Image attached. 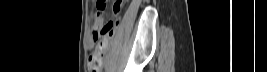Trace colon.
<instances>
[{
    "instance_id": "obj_1",
    "label": "colon",
    "mask_w": 267,
    "mask_h": 72,
    "mask_svg": "<svg viewBox=\"0 0 267 72\" xmlns=\"http://www.w3.org/2000/svg\"><path fill=\"white\" fill-rule=\"evenodd\" d=\"M104 4L105 3L103 0H98L96 2V8L98 12H100L103 9ZM115 10H117V8H115ZM117 24H118V21L109 22L102 29V31L105 33V35L112 36ZM94 36L97 37V34L94 33ZM105 49H106L105 43H100L98 44L96 51L89 57L88 68L91 72H99L101 70Z\"/></svg>"
}]
</instances>
